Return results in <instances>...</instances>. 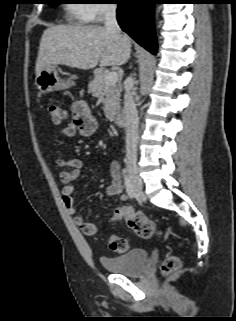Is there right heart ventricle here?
Returning a JSON list of instances; mask_svg holds the SVG:
<instances>
[{
  "mask_svg": "<svg viewBox=\"0 0 236 321\" xmlns=\"http://www.w3.org/2000/svg\"><path fill=\"white\" fill-rule=\"evenodd\" d=\"M86 5L81 3L70 4L67 7V17L70 21L76 23H84Z\"/></svg>",
  "mask_w": 236,
  "mask_h": 321,
  "instance_id": "obj_1",
  "label": "right heart ventricle"
}]
</instances>
